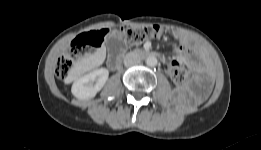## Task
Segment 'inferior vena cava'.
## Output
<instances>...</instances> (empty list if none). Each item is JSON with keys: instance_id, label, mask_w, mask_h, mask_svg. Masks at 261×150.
Here are the masks:
<instances>
[{"instance_id": "inferior-vena-cava-1", "label": "inferior vena cava", "mask_w": 261, "mask_h": 150, "mask_svg": "<svg viewBox=\"0 0 261 150\" xmlns=\"http://www.w3.org/2000/svg\"><path fill=\"white\" fill-rule=\"evenodd\" d=\"M140 64V58L134 52H129L124 57V65L126 67H132Z\"/></svg>"}]
</instances>
